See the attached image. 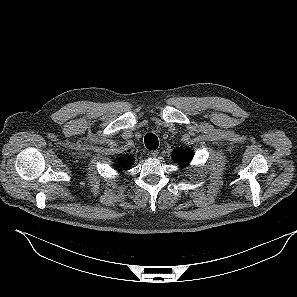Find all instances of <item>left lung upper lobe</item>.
I'll use <instances>...</instances> for the list:
<instances>
[{
    "label": "left lung upper lobe",
    "mask_w": 297,
    "mask_h": 297,
    "mask_svg": "<svg viewBox=\"0 0 297 297\" xmlns=\"http://www.w3.org/2000/svg\"><path fill=\"white\" fill-rule=\"evenodd\" d=\"M172 156L175 162L179 163L180 166H187L193 157L191 151L185 150H175L173 151Z\"/></svg>",
    "instance_id": "left-lung-upper-lobe-1"
}]
</instances>
